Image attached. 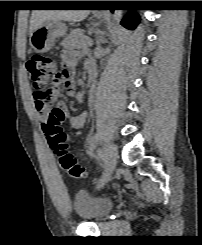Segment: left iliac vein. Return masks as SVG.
Wrapping results in <instances>:
<instances>
[{"instance_id":"left-iliac-vein-1","label":"left iliac vein","mask_w":202,"mask_h":245,"mask_svg":"<svg viewBox=\"0 0 202 245\" xmlns=\"http://www.w3.org/2000/svg\"><path fill=\"white\" fill-rule=\"evenodd\" d=\"M101 158L105 165V174L102 177V183H101L103 185L108 181L110 175L112 174L117 164V159H118L117 147L114 144L107 142L102 150Z\"/></svg>"}]
</instances>
